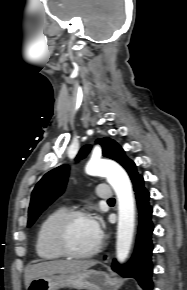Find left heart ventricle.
I'll return each instance as SVG.
<instances>
[{
  "label": "left heart ventricle",
  "mask_w": 187,
  "mask_h": 290,
  "mask_svg": "<svg viewBox=\"0 0 187 290\" xmlns=\"http://www.w3.org/2000/svg\"><path fill=\"white\" fill-rule=\"evenodd\" d=\"M99 238L92 227L90 217L77 218L68 228L69 244L76 251L90 250L97 244Z\"/></svg>",
  "instance_id": "left-heart-ventricle-1"
}]
</instances>
